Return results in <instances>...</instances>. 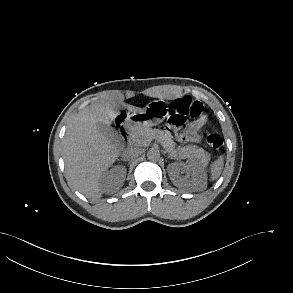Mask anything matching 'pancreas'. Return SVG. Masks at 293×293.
I'll use <instances>...</instances> for the list:
<instances>
[{
	"mask_svg": "<svg viewBox=\"0 0 293 293\" xmlns=\"http://www.w3.org/2000/svg\"><path fill=\"white\" fill-rule=\"evenodd\" d=\"M157 137L160 139L163 147L174 159H193L200 163H206L209 160V154L201 147L196 145H188L185 147L176 146V144L168 140L162 131L149 127L135 128L131 134V143L135 146H147L151 140Z\"/></svg>",
	"mask_w": 293,
	"mask_h": 293,
	"instance_id": "1",
	"label": "pancreas"
}]
</instances>
